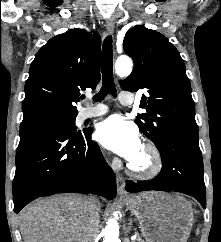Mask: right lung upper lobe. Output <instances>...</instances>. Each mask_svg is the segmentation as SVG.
I'll return each instance as SVG.
<instances>
[{"instance_id":"cb5924a9","label":"right lung upper lobe","mask_w":221,"mask_h":242,"mask_svg":"<svg viewBox=\"0 0 221 242\" xmlns=\"http://www.w3.org/2000/svg\"><path fill=\"white\" fill-rule=\"evenodd\" d=\"M100 48L98 34L79 28L51 38L31 63L20 128L77 115L80 91L100 81Z\"/></svg>"}]
</instances>
